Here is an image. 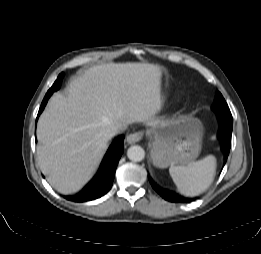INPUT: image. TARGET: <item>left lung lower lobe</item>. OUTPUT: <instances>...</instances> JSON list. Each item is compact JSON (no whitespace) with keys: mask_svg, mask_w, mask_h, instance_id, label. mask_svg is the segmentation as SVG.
Returning a JSON list of instances; mask_svg holds the SVG:
<instances>
[{"mask_svg":"<svg viewBox=\"0 0 261 254\" xmlns=\"http://www.w3.org/2000/svg\"><path fill=\"white\" fill-rule=\"evenodd\" d=\"M218 115V114H217ZM220 120L219 125V132L218 137L222 140V149L225 153L224 159L225 161L228 158L230 147H231V134H232V126H233V119L232 116H224V115H218ZM149 181L154 188V190L162 196L165 200L171 201V202H179V203H188L194 200V198H187L184 196H181L175 192H168L159 189L149 178Z\"/></svg>","mask_w":261,"mask_h":254,"instance_id":"0a47b994","label":"left lung lower lobe"}]
</instances>
